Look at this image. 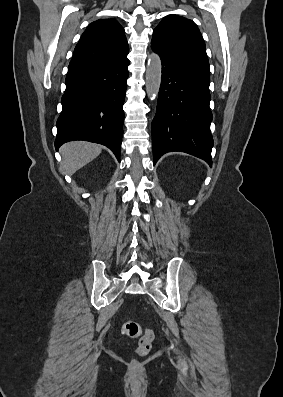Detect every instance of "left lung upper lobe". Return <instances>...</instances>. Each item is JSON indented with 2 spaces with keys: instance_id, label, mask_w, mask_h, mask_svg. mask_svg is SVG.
<instances>
[{
  "instance_id": "left-lung-upper-lobe-1",
  "label": "left lung upper lobe",
  "mask_w": 283,
  "mask_h": 397,
  "mask_svg": "<svg viewBox=\"0 0 283 397\" xmlns=\"http://www.w3.org/2000/svg\"><path fill=\"white\" fill-rule=\"evenodd\" d=\"M151 47L210 81L205 43L192 20L177 15L164 17L153 31Z\"/></svg>"
}]
</instances>
